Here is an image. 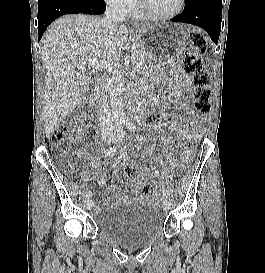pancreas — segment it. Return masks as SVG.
Wrapping results in <instances>:
<instances>
[{"label": "pancreas", "mask_w": 265, "mask_h": 273, "mask_svg": "<svg viewBox=\"0 0 265 273\" xmlns=\"http://www.w3.org/2000/svg\"><path fill=\"white\" fill-rule=\"evenodd\" d=\"M132 59L136 66L141 68L150 59V57L144 49H142L141 47H137L132 53ZM113 79L115 82H117L121 79V75L116 73L113 76Z\"/></svg>", "instance_id": "cf45deb5"}]
</instances>
